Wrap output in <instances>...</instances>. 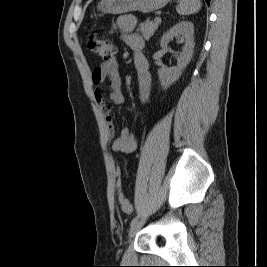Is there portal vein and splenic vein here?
Returning a JSON list of instances; mask_svg holds the SVG:
<instances>
[{
    "label": "portal vein and splenic vein",
    "instance_id": "1",
    "mask_svg": "<svg viewBox=\"0 0 267 267\" xmlns=\"http://www.w3.org/2000/svg\"><path fill=\"white\" fill-rule=\"evenodd\" d=\"M155 21L156 22H161V17L160 16L155 17Z\"/></svg>",
    "mask_w": 267,
    "mask_h": 267
}]
</instances>
